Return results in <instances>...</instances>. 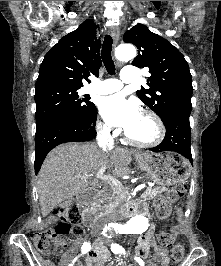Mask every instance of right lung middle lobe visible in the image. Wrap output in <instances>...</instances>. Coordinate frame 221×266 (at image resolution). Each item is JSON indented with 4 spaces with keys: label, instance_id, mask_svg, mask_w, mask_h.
Listing matches in <instances>:
<instances>
[{
    "label": "right lung middle lobe",
    "instance_id": "dd1d6c3e",
    "mask_svg": "<svg viewBox=\"0 0 221 266\" xmlns=\"http://www.w3.org/2000/svg\"><path fill=\"white\" fill-rule=\"evenodd\" d=\"M78 89L66 86L36 88V129L59 118L93 119L97 109L87 95L79 96Z\"/></svg>",
    "mask_w": 221,
    "mask_h": 266
}]
</instances>
